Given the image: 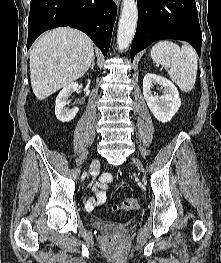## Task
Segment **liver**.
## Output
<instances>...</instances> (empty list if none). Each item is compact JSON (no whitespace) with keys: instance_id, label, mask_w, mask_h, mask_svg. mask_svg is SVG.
<instances>
[{"instance_id":"obj_1","label":"liver","mask_w":221,"mask_h":263,"mask_svg":"<svg viewBox=\"0 0 221 263\" xmlns=\"http://www.w3.org/2000/svg\"><path fill=\"white\" fill-rule=\"evenodd\" d=\"M94 45L83 32L62 27L40 37L30 52L34 95L44 100L81 78L94 60Z\"/></svg>"}]
</instances>
